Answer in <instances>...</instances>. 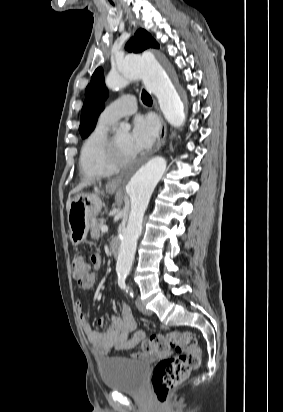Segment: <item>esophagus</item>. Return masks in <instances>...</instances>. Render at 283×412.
Wrapping results in <instances>:
<instances>
[{
    "label": "esophagus",
    "instance_id": "34e87169",
    "mask_svg": "<svg viewBox=\"0 0 283 412\" xmlns=\"http://www.w3.org/2000/svg\"><path fill=\"white\" fill-rule=\"evenodd\" d=\"M154 106H155L157 112H159L158 104H157V101L155 99H154ZM159 116H160V121H161V128H160L157 143H156L155 147L153 148V150L151 151L150 154H153V153L157 152L160 149V147L162 146V144H163V142L166 138V134H167L166 123L164 122V120H163L160 113H159ZM122 178H123V175L121 174V175L117 176L115 179H113L110 182V184L113 185V186L120 185L121 182H122Z\"/></svg>",
    "mask_w": 283,
    "mask_h": 412
}]
</instances>
